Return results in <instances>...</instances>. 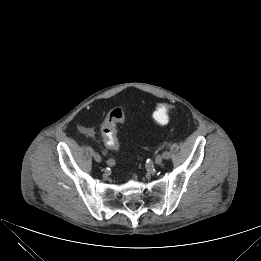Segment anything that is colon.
Listing matches in <instances>:
<instances>
[{
  "mask_svg": "<svg viewBox=\"0 0 261 261\" xmlns=\"http://www.w3.org/2000/svg\"><path fill=\"white\" fill-rule=\"evenodd\" d=\"M172 106L165 102L156 104L152 118L159 126H165L169 122ZM125 121V114L120 108L110 110L101 125V134L106 146L112 150H118L120 142L117 137V124Z\"/></svg>",
  "mask_w": 261,
  "mask_h": 261,
  "instance_id": "colon-1",
  "label": "colon"
}]
</instances>
